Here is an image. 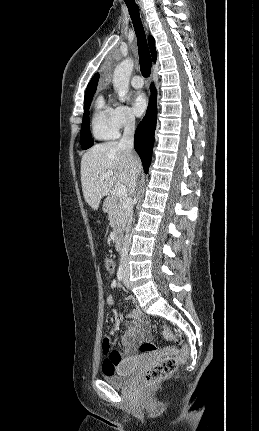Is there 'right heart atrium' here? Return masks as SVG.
Returning a JSON list of instances; mask_svg holds the SVG:
<instances>
[{"mask_svg":"<svg viewBox=\"0 0 259 431\" xmlns=\"http://www.w3.org/2000/svg\"><path fill=\"white\" fill-rule=\"evenodd\" d=\"M111 122L118 131L135 125V117L130 108L123 104H116L111 108Z\"/></svg>","mask_w":259,"mask_h":431,"instance_id":"right-heart-atrium-1","label":"right heart atrium"}]
</instances>
